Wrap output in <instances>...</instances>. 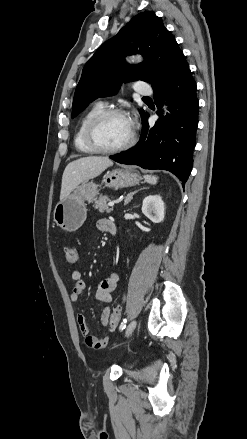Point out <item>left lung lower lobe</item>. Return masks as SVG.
<instances>
[{"label": "left lung lower lobe", "instance_id": "obj_1", "mask_svg": "<svg viewBox=\"0 0 247 439\" xmlns=\"http://www.w3.org/2000/svg\"><path fill=\"white\" fill-rule=\"evenodd\" d=\"M196 83L184 58L168 79L154 90L158 107L167 97L169 111L149 129L148 114L142 117L140 141L130 150L110 158L118 163L144 169H163L176 175L184 186L191 172L192 153L198 120ZM159 113V112H158Z\"/></svg>", "mask_w": 247, "mask_h": 439}]
</instances>
